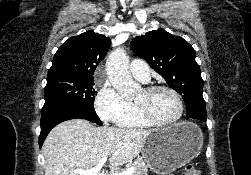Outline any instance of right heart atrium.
Wrapping results in <instances>:
<instances>
[{"label": "right heart atrium", "mask_w": 251, "mask_h": 175, "mask_svg": "<svg viewBox=\"0 0 251 175\" xmlns=\"http://www.w3.org/2000/svg\"><path fill=\"white\" fill-rule=\"evenodd\" d=\"M94 109L103 122L119 124L131 113L133 106L109 81H103L94 99Z\"/></svg>", "instance_id": "d8ad5b80"}]
</instances>
